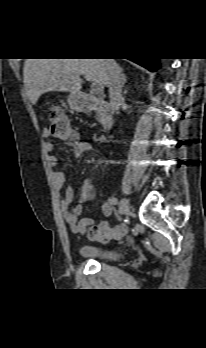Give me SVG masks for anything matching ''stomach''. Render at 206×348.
Segmentation results:
<instances>
[{
	"instance_id": "obj_1",
	"label": "stomach",
	"mask_w": 206,
	"mask_h": 348,
	"mask_svg": "<svg viewBox=\"0 0 206 348\" xmlns=\"http://www.w3.org/2000/svg\"><path fill=\"white\" fill-rule=\"evenodd\" d=\"M68 103L70 107L76 111H82L85 107V102L78 93H71L68 96Z\"/></svg>"
}]
</instances>
